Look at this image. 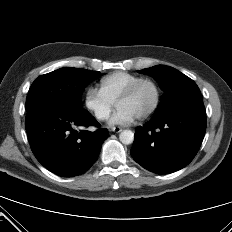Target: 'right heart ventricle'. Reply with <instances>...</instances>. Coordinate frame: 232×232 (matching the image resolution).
Masks as SVG:
<instances>
[{"label":"right heart ventricle","instance_id":"obj_1","mask_svg":"<svg viewBox=\"0 0 232 232\" xmlns=\"http://www.w3.org/2000/svg\"><path fill=\"white\" fill-rule=\"evenodd\" d=\"M141 76L128 72L117 71L104 76L99 81V91L112 103L126 91V89L140 79Z\"/></svg>","mask_w":232,"mask_h":232}]
</instances>
